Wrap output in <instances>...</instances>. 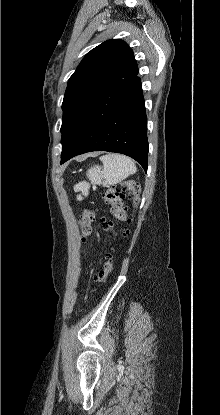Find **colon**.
<instances>
[{"instance_id": "obj_1", "label": "colon", "mask_w": 220, "mask_h": 415, "mask_svg": "<svg viewBox=\"0 0 220 415\" xmlns=\"http://www.w3.org/2000/svg\"><path fill=\"white\" fill-rule=\"evenodd\" d=\"M129 190L133 196V203L136 205L139 201V195L141 191L140 183L135 180L126 182L122 188H109L104 194V200L110 207V212L116 221H126L127 211L124 206V191ZM98 218L97 212L94 209L86 208L83 210L80 216L78 226L80 228L82 238L91 233L92 223ZM130 221V220H129ZM103 228L111 233L114 232V223L111 221L102 220ZM114 266V256L109 254L107 261L104 264L103 269L96 275L95 281L98 284H102L106 281L109 274L112 272Z\"/></svg>"}]
</instances>
